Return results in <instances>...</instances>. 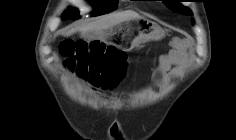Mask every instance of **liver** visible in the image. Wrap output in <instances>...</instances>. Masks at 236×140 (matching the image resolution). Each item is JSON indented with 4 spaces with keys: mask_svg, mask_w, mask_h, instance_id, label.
<instances>
[{
    "mask_svg": "<svg viewBox=\"0 0 236 140\" xmlns=\"http://www.w3.org/2000/svg\"><path fill=\"white\" fill-rule=\"evenodd\" d=\"M130 17H140L137 13L133 11L114 13L107 17L100 19L94 23H89L82 25L80 27H74L64 32L65 36H71L76 32L90 33L93 32L99 38H105L112 31L113 27L120 22L130 18Z\"/></svg>",
    "mask_w": 236,
    "mask_h": 140,
    "instance_id": "1",
    "label": "liver"
}]
</instances>
